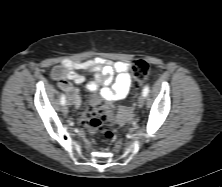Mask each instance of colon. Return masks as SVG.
I'll list each match as a JSON object with an SVG mask.
<instances>
[{"mask_svg":"<svg viewBox=\"0 0 222 187\" xmlns=\"http://www.w3.org/2000/svg\"><path fill=\"white\" fill-rule=\"evenodd\" d=\"M150 64L144 59L135 61L132 73L138 85H143L149 75ZM111 117L119 121L123 115H112L108 109V101L104 97H94L79 118V124L89 133H101L106 140L112 141L115 135L111 131H103V124Z\"/></svg>","mask_w":222,"mask_h":187,"instance_id":"5ec220e1","label":"colon"}]
</instances>
